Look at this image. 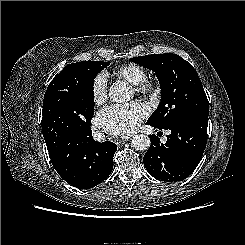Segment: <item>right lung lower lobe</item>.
Instances as JSON below:
<instances>
[{
	"instance_id": "right-lung-lower-lobe-1",
	"label": "right lung lower lobe",
	"mask_w": 245,
	"mask_h": 245,
	"mask_svg": "<svg viewBox=\"0 0 245 245\" xmlns=\"http://www.w3.org/2000/svg\"><path fill=\"white\" fill-rule=\"evenodd\" d=\"M45 142L55 170L76 188L89 189L98 185L113 169L117 146L110 141L96 142L92 131L60 133Z\"/></svg>"
}]
</instances>
